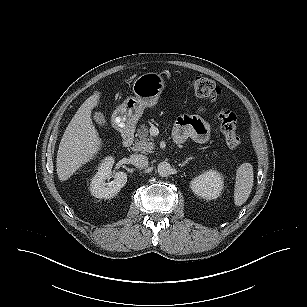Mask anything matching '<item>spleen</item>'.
<instances>
[{
    "mask_svg": "<svg viewBox=\"0 0 307 307\" xmlns=\"http://www.w3.org/2000/svg\"><path fill=\"white\" fill-rule=\"evenodd\" d=\"M253 166L250 163L241 164L236 171L234 188V203L236 206L243 205L250 196L253 187Z\"/></svg>",
    "mask_w": 307,
    "mask_h": 307,
    "instance_id": "spleen-1",
    "label": "spleen"
}]
</instances>
